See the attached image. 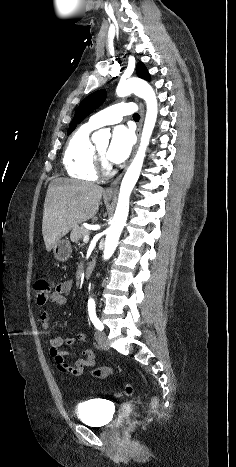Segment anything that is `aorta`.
I'll return each mask as SVG.
<instances>
[{
    "instance_id": "aorta-1",
    "label": "aorta",
    "mask_w": 236,
    "mask_h": 467,
    "mask_svg": "<svg viewBox=\"0 0 236 467\" xmlns=\"http://www.w3.org/2000/svg\"><path fill=\"white\" fill-rule=\"evenodd\" d=\"M134 93L146 102V116L142 130L140 145L138 151L128 167L120 186L118 203L110 227L107 229L105 238V247L103 252L104 260H108L114 253L120 234L125 226L129 213V199L131 192L140 176L143 166L147 146L157 120L158 103L153 88L144 80L130 78L120 81L116 88V94L124 97ZM103 131H98L95 136L102 135Z\"/></svg>"
}]
</instances>
